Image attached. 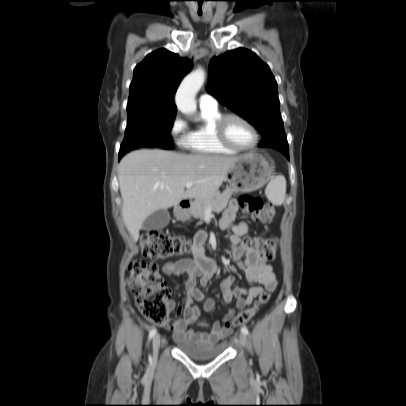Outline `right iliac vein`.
<instances>
[{"instance_id": "63e3f726", "label": "right iliac vein", "mask_w": 406, "mask_h": 406, "mask_svg": "<svg viewBox=\"0 0 406 406\" xmlns=\"http://www.w3.org/2000/svg\"><path fill=\"white\" fill-rule=\"evenodd\" d=\"M160 345H161V337L159 334H156L152 341L153 360H156L157 358Z\"/></svg>"}]
</instances>
